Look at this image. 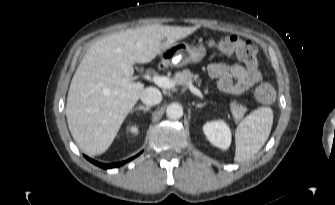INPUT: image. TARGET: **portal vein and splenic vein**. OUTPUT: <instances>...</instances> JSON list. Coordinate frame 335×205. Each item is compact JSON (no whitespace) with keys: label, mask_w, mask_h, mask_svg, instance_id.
Returning <instances> with one entry per match:
<instances>
[{"label":"portal vein and splenic vein","mask_w":335,"mask_h":205,"mask_svg":"<svg viewBox=\"0 0 335 205\" xmlns=\"http://www.w3.org/2000/svg\"><path fill=\"white\" fill-rule=\"evenodd\" d=\"M151 80L156 84L158 85L159 87H162V88H166V89H170V88H173L175 85H176V80H173V79H170L166 76H153L151 78ZM189 89L190 91L195 94L196 96L200 97L201 99H203V94L202 92L196 88L193 84H189Z\"/></svg>","instance_id":"obj_1"}]
</instances>
